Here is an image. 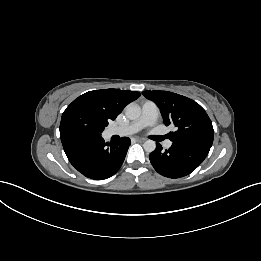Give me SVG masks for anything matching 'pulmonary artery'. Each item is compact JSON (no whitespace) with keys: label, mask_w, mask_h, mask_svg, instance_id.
<instances>
[{"label":"pulmonary artery","mask_w":261,"mask_h":261,"mask_svg":"<svg viewBox=\"0 0 261 261\" xmlns=\"http://www.w3.org/2000/svg\"><path fill=\"white\" fill-rule=\"evenodd\" d=\"M159 110L153 101H146L142 105V114L139 119L120 127L109 128L107 134L109 136L119 135L128 136L137 133L146 126H152L157 122ZM165 148L172 146V141L167 140L164 143Z\"/></svg>","instance_id":"obj_1"}]
</instances>
